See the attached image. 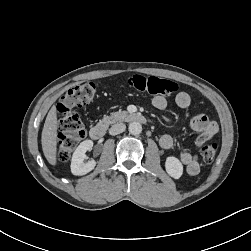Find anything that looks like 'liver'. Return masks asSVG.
Instances as JSON below:
<instances>
[{"label":"liver","instance_id":"liver-1","mask_svg":"<svg viewBox=\"0 0 251 251\" xmlns=\"http://www.w3.org/2000/svg\"><path fill=\"white\" fill-rule=\"evenodd\" d=\"M57 124V110L54 105L47 114L41 136L44 156L53 166L57 164Z\"/></svg>","mask_w":251,"mask_h":251}]
</instances>
